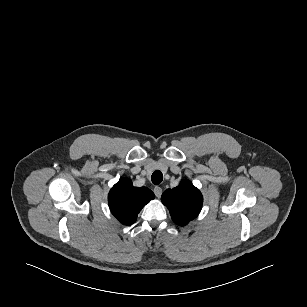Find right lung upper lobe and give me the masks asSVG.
Masks as SVG:
<instances>
[{
	"label": "right lung upper lobe",
	"instance_id": "obj_1",
	"mask_svg": "<svg viewBox=\"0 0 307 307\" xmlns=\"http://www.w3.org/2000/svg\"><path fill=\"white\" fill-rule=\"evenodd\" d=\"M154 197L150 189L134 187L130 179L123 178L109 192V208L122 224L131 225L141 209Z\"/></svg>",
	"mask_w": 307,
	"mask_h": 307
}]
</instances>
